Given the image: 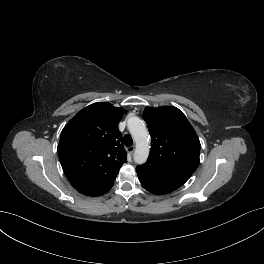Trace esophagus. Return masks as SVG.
Segmentation results:
<instances>
[{
  "instance_id": "obj_1",
  "label": "esophagus",
  "mask_w": 264,
  "mask_h": 264,
  "mask_svg": "<svg viewBox=\"0 0 264 264\" xmlns=\"http://www.w3.org/2000/svg\"><path fill=\"white\" fill-rule=\"evenodd\" d=\"M127 151L132 155L135 151V147L134 146H130L127 148Z\"/></svg>"
}]
</instances>
